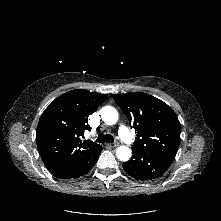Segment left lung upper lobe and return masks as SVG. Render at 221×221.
Listing matches in <instances>:
<instances>
[{"label": "left lung upper lobe", "mask_w": 221, "mask_h": 221, "mask_svg": "<svg viewBox=\"0 0 221 221\" xmlns=\"http://www.w3.org/2000/svg\"><path fill=\"white\" fill-rule=\"evenodd\" d=\"M112 97L137 132L132 149L174 160L181 132L175 112L163 101L142 92Z\"/></svg>", "instance_id": "left-lung-upper-lobe-1"}]
</instances>
